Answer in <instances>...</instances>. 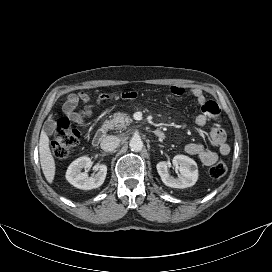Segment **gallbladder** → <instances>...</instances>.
<instances>
[{
  "instance_id": "gallbladder-1",
  "label": "gallbladder",
  "mask_w": 272,
  "mask_h": 272,
  "mask_svg": "<svg viewBox=\"0 0 272 272\" xmlns=\"http://www.w3.org/2000/svg\"><path fill=\"white\" fill-rule=\"evenodd\" d=\"M56 125L53 121H46L43 125V130L46 134L52 135L55 131Z\"/></svg>"
}]
</instances>
